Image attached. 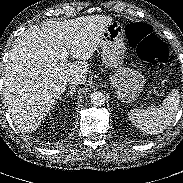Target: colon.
I'll use <instances>...</instances> for the list:
<instances>
[{
    "label": "colon",
    "mask_w": 183,
    "mask_h": 183,
    "mask_svg": "<svg viewBox=\"0 0 183 183\" xmlns=\"http://www.w3.org/2000/svg\"><path fill=\"white\" fill-rule=\"evenodd\" d=\"M125 34L130 45L141 59L156 67H163L169 58L166 44L152 33L151 27L142 22L130 23Z\"/></svg>",
    "instance_id": "obj_1"
}]
</instances>
